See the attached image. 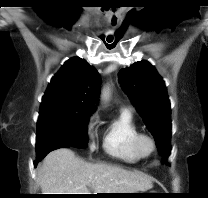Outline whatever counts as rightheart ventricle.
I'll list each match as a JSON object with an SVG mask.
<instances>
[{
  "label": "right heart ventricle",
  "mask_w": 208,
  "mask_h": 198,
  "mask_svg": "<svg viewBox=\"0 0 208 198\" xmlns=\"http://www.w3.org/2000/svg\"><path fill=\"white\" fill-rule=\"evenodd\" d=\"M139 133L131 113L121 110L118 116L105 128L103 148L112 158L135 163L141 159L134 147V140Z\"/></svg>",
  "instance_id": "1"
}]
</instances>
